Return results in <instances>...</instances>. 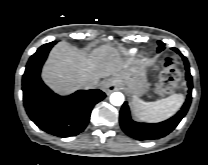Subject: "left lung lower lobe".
Wrapping results in <instances>:
<instances>
[{
  "mask_svg": "<svg viewBox=\"0 0 208 165\" xmlns=\"http://www.w3.org/2000/svg\"><path fill=\"white\" fill-rule=\"evenodd\" d=\"M175 52L181 55L184 64H185V69H186V80H187V85H188V96L187 99L182 106L181 110L178 111V113L173 116L172 118L156 123V124H148V123H138L135 122L131 119L130 117V111H129V106L127 102H124L122 105V108L120 110V125L122 130L129 135L130 137L137 139V140H153V139H159L170 132H172L176 126L179 124V122L185 117L190 104L192 100V76L190 74V69H189V62L186 57H184L178 49L173 48Z\"/></svg>",
  "mask_w": 208,
  "mask_h": 165,
  "instance_id": "left-lung-lower-lobe-1",
  "label": "left lung lower lobe"
}]
</instances>
